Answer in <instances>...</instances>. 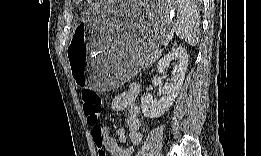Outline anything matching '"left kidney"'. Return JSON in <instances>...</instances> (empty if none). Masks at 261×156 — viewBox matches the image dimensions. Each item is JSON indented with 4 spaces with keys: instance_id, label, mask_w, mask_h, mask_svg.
<instances>
[{
    "instance_id": "5707ae66",
    "label": "left kidney",
    "mask_w": 261,
    "mask_h": 156,
    "mask_svg": "<svg viewBox=\"0 0 261 156\" xmlns=\"http://www.w3.org/2000/svg\"><path fill=\"white\" fill-rule=\"evenodd\" d=\"M174 60L177 63L171 72L172 78L162 87L161 97L154 100L149 93L141 97V110L146 118L162 116L171 107L182 87L188 65V54L185 48L177 47L164 55L157 64V70L159 73H164Z\"/></svg>"
}]
</instances>
